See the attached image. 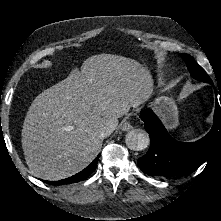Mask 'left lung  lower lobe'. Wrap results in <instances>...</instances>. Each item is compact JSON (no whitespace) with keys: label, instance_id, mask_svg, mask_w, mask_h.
Instances as JSON below:
<instances>
[{"label":"left lung lower lobe","instance_id":"0a47b994","mask_svg":"<svg viewBox=\"0 0 221 221\" xmlns=\"http://www.w3.org/2000/svg\"><path fill=\"white\" fill-rule=\"evenodd\" d=\"M210 84L213 85L212 81ZM215 93L217 96L216 90ZM219 94L221 104L220 91ZM140 116L151 142L148 152L138 159V165L148 175L164 178L190 174L221 145V110L218 100L211 131L193 143L173 139L152 110H143Z\"/></svg>","mask_w":221,"mask_h":221}]
</instances>
